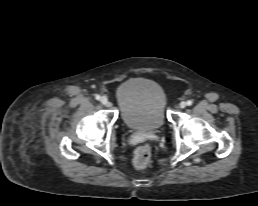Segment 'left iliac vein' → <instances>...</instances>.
<instances>
[{"label":"left iliac vein","mask_w":258,"mask_h":206,"mask_svg":"<svg viewBox=\"0 0 258 206\" xmlns=\"http://www.w3.org/2000/svg\"><path fill=\"white\" fill-rule=\"evenodd\" d=\"M186 105H187V104H186V102H184V101L180 102V104H179L180 108H185Z\"/></svg>","instance_id":"obj_1"}]
</instances>
